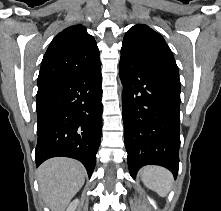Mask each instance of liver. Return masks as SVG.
Masks as SVG:
<instances>
[{
    "mask_svg": "<svg viewBox=\"0 0 221 211\" xmlns=\"http://www.w3.org/2000/svg\"><path fill=\"white\" fill-rule=\"evenodd\" d=\"M86 177L77 160L58 157L45 161L38 169L41 196L51 211H64L82 188Z\"/></svg>",
    "mask_w": 221,
    "mask_h": 211,
    "instance_id": "obj_1",
    "label": "liver"
}]
</instances>
